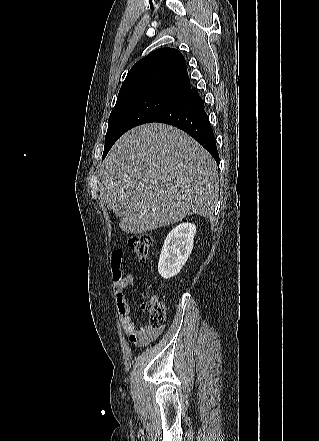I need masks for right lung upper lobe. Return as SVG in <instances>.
Segmentation results:
<instances>
[{"mask_svg":"<svg viewBox=\"0 0 319 441\" xmlns=\"http://www.w3.org/2000/svg\"><path fill=\"white\" fill-rule=\"evenodd\" d=\"M190 88L186 61L180 51L160 48L134 64L122 84L116 105L142 97L174 103Z\"/></svg>","mask_w":319,"mask_h":441,"instance_id":"cb5924a9","label":"right lung upper lobe"}]
</instances>
